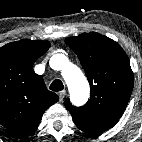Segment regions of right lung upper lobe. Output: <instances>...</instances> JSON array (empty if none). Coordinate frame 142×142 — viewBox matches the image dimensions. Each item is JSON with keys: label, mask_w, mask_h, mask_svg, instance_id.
Listing matches in <instances>:
<instances>
[{"label": "right lung upper lobe", "mask_w": 142, "mask_h": 142, "mask_svg": "<svg viewBox=\"0 0 142 142\" xmlns=\"http://www.w3.org/2000/svg\"><path fill=\"white\" fill-rule=\"evenodd\" d=\"M49 47L48 41L24 39L0 48V123L16 136L33 133L59 99L33 71Z\"/></svg>", "instance_id": "right-lung-upper-lobe-1"}]
</instances>
